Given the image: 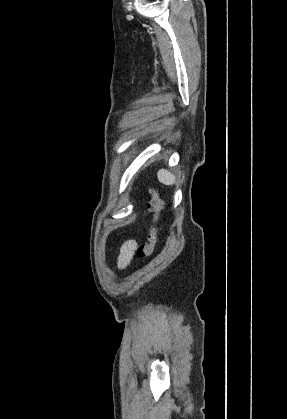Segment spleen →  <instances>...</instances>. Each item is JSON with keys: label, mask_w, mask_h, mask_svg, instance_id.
Masks as SVG:
<instances>
[{"label": "spleen", "mask_w": 287, "mask_h": 419, "mask_svg": "<svg viewBox=\"0 0 287 419\" xmlns=\"http://www.w3.org/2000/svg\"><path fill=\"white\" fill-rule=\"evenodd\" d=\"M158 180L165 185L175 184V176L168 170H160L157 173Z\"/></svg>", "instance_id": "spleen-1"}]
</instances>
